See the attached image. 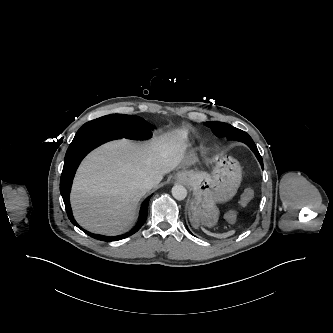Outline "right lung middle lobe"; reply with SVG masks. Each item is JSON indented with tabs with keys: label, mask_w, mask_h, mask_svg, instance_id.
<instances>
[{
	"label": "right lung middle lobe",
	"mask_w": 333,
	"mask_h": 333,
	"mask_svg": "<svg viewBox=\"0 0 333 333\" xmlns=\"http://www.w3.org/2000/svg\"><path fill=\"white\" fill-rule=\"evenodd\" d=\"M154 127L142 118L132 115L112 114L85 123L77 132L82 134L91 130L106 131L128 139H147Z\"/></svg>",
	"instance_id": "1"
}]
</instances>
